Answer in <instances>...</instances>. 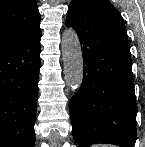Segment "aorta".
<instances>
[{"instance_id":"aorta-1","label":"aorta","mask_w":145,"mask_h":147,"mask_svg":"<svg viewBox=\"0 0 145 147\" xmlns=\"http://www.w3.org/2000/svg\"><path fill=\"white\" fill-rule=\"evenodd\" d=\"M61 50L66 85L75 92L81 86L84 67L80 41L73 29L67 28L63 32Z\"/></svg>"}]
</instances>
